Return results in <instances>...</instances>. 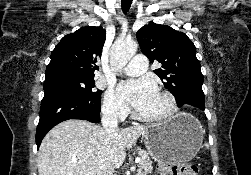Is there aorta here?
I'll list each match as a JSON object with an SVG mask.
<instances>
[{"instance_id": "aorta-1", "label": "aorta", "mask_w": 251, "mask_h": 175, "mask_svg": "<svg viewBox=\"0 0 251 175\" xmlns=\"http://www.w3.org/2000/svg\"><path fill=\"white\" fill-rule=\"evenodd\" d=\"M137 48V42H119V44H113L110 50V66L112 70L121 72L129 60L135 56Z\"/></svg>"}]
</instances>
